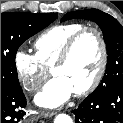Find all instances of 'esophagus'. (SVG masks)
Instances as JSON below:
<instances>
[{
	"label": "esophagus",
	"mask_w": 123,
	"mask_h": 123,
	"mask_svg": "<svg viewBox=\"0 0 123 123\" xmlns=\"http://www.w3.org/2000/svg\"><path fill=\"white\" fill-rule=\"evenodd\" d=\"M56 113L55 112H53V111H43V112H41V115L43 116V117H52L53 115H55Z\"/></svg>",
	"instance_id": "obj_1"
}]
</instances>
